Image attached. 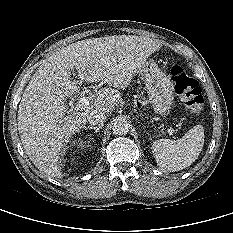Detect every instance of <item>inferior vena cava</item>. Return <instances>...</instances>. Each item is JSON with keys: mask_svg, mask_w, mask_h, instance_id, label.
I'll list each match as a JSON object with an SVG mask.
<instances>
[{"mask_svg": "<svg viewBox=\"0 0 233 233\" xmlns=\"http://www.w3.org/2000/svg\"><path fill=\"white\" fill-rule=\"evenodd\" d=\"M107 116L103 111L95 110L92 111L88 116L87 120L92 125H103Z\"/></svg>", "mask_w": 233, "mask_h": 233, "instance_id": "602c4592", "label": "inferior vena cava"}]
</instances>
